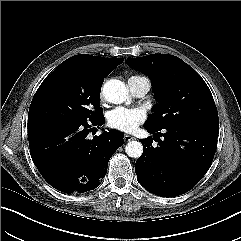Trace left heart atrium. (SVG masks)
<instances>
[{
	"label": "left heart atrium",
	"instance_id": "1",
	"mask_svg": "<svg viewBox=\"0 0 241 241\" xmlns=\"http://www.w3.org/2000/svg\"><path fill=\"white\" fill-rule=\"evenodd\" d=\"M146 119V114L141 108L117 107L107 115V121L111 128L133 132Z\"/></svg>",
	"mask_w": 241,
	"mask_h": 241
}]
</instances>
